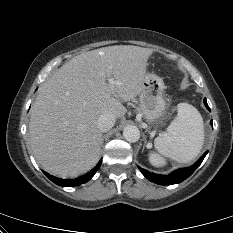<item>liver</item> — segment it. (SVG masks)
<instances>
[{
	"label": "liver",
	"instance_id": "obj_1",
	"mask_svg": "<svg viewBox=\"0 0 233 233\" xmlns=\"http://www.w3.org/2000/svg\"><path fill=\"white\" fill-rule=\"evenodd\" d=\"M153 50L115 45L75 56L40 87L31 109L29 141L36 161L52 175L76 177L97 163L103 143L97 123L140 94ZM112 78L115 84H110Z\"/></svg>",
	"mask_w": 233,
	"mask_h": 233
}]
</instances>
